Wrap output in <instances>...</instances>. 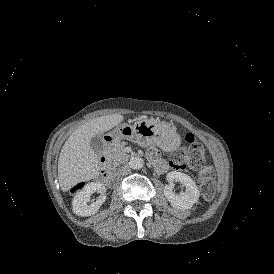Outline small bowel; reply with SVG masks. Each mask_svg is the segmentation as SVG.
Instances as JSON below:
<instances>
[{"mask_svg":"<svg viewBox=\"0 0 274 274\" xmlns=\"http://www.w3.org/2000/svg\"><path fill=\"white\" fill-rule=\"evenodd\" d=\"M147 157H148V160L149 162L153 165L154 169L156 170V172L158 173H161L160 171L157 170V167H156V163L161 160L159 154H158V151L157 149L155 148H151L148 153H147Z\"/></svg>","mask_w":274,"mask_h":274,"instance_id":"small-bowel-1","label":"small bowel"}]
</instances>
